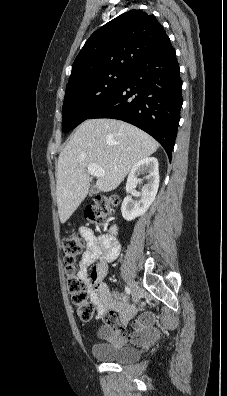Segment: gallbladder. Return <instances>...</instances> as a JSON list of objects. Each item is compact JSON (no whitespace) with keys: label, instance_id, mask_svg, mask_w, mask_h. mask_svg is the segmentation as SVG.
<instances>
[{"label":"gallbladder","instance_id":"obj_1","mask_svg":"<svg viewBox=\"0 0 227 396\" xmlns=\"http://www.w3.org/2000/svg\"><path fill=\"white\" fill-rule=\"evenodd\" d=\"M90 192H91L92 194L96 193V192H97V188H96L95 186H92Z\"/></svg>","mask_w":227,"mask_h":396}]
</instances>
